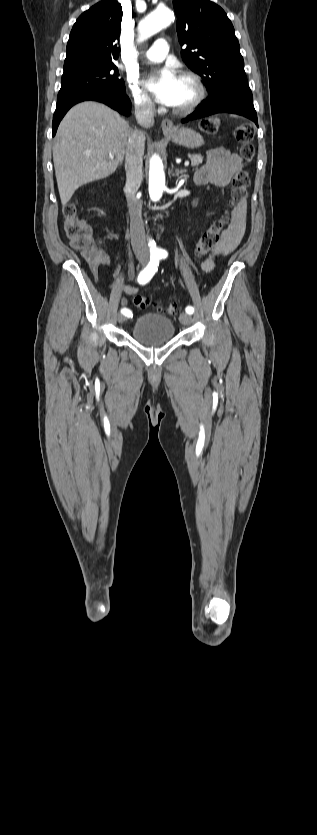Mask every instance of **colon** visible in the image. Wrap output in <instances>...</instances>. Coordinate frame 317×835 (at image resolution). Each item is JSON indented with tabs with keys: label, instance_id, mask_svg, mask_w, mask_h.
I'll list each match as a JSON object with an SVG mask.
<instances>
[{
	"label": "colon",
	"instance_id": "colon-1",
	"mask_svg": "<svg viewBox=\"0 0 317 835\" xmlns=\"http://www.w3.org/2000/svg\"><path fill=\"white\" fill-rule=\"evenodd\" d=\"M219 125V119L214 117L207 118L200 124L202 131L210 135L217 133ZM234 136L240 145V156L242 160L245 163H251L255 158V148L253 145L254 129L248 124L239 125L234 130ZM249 185L250 178L246 171L241 170L234 176L229 209L203 231L193 249L196 257L205 256L219 243L220 233L229 222L230 211L236 210L246 203ZM63 216L64 230L70 240L71 246L75 250L80 251L88 260L94 258L97 250L94 246L90 228L79 217L75 202H68L63 207ZM134 305L139 309H145L148 305V300L142 295H137L134 298ZM156 309L160 312L165 311L168 314H174L176 312L175 305H169L164 308L157 304Z\"/></svg>",
	"mask_w": 317,
	"mask_h": 835
}]
</instances>
